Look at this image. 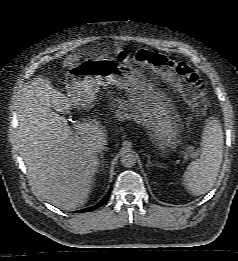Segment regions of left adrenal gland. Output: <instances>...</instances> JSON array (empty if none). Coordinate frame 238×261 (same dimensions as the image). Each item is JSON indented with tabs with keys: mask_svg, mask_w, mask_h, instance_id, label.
I'll return each instance as SVG.
<instances>
[{
	"mask_svg": "<svg viewBox=\"0 0 238 261\" xmlns=\"http://www.w3.org/2000/svg\"><path fill=\"white\" fill-rule=\"evenodd\" d=\"M145 155H146V157L148 158V160H147V166H148V167H150V166H152V165L157 166V164L152 163V161L150 160V156H149V155H147V154H145Z\"/></svg>",
	"mask_w": 238,
	"mask_h": 261,
	"instance_id": "obj_1",
	"label": "left adrenal gland"
}]
</instances>
